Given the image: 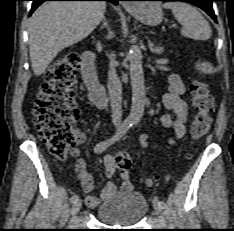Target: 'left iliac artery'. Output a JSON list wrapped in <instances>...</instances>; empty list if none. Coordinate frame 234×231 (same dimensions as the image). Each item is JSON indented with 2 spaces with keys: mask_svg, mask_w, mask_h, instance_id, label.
I'll use <instances>...</instances> for the list:
<instances>
[{
  "mask_svg": "<svg viewBox=\"0 0 234 231\" xmlns=\"http://www.w3.org/2000/svg\"><path fill=\"white\" fill-rule=\"evenodd\" d=\"M134 124H137V121L134 122ZM159 204H160L162 209L166 206V203L163 200L159 201Z\"/></svg>",
  "mask_w": 234,
  "mask_h": 231,
  "instance_id": "44dca946",
  "label": "left iliac artery"
}]
</instances>
